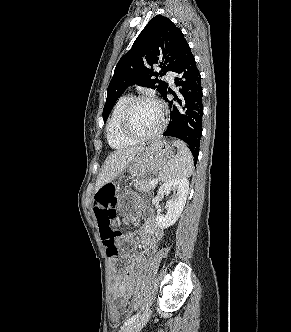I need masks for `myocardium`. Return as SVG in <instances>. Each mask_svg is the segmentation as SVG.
Wrapping results in <instances>:
<instances>
[{"label":"myocardium","mask_w":291,"mask_h":332,"mask_svg":"<svg viewBox=\"0 0 291 332\" xmlns=\"http://www.w3.org/2000/svg\"><path fill=\"white\" fill-rule=\"evenodd\" d=\"M146 101L152 102L158 106V108L160 110L161 123H160V126L158 127V129L155 132H153L152 134L138 135L131 130V127H130L131 116H132V113H133V110L135 109V107L139 103L146 102ZM166 125H167V116H166L165 105L159 99H157L153 96H150V95H141V96L132 98L131 101L126 106V108L122 114L121 122H120V128H121L122 134L126 138H128L132 141H135V142L149 141V140H153V139L159 137L165 130Z\"/></svg>","instance_id":"f54148a6"}]
</instances>
